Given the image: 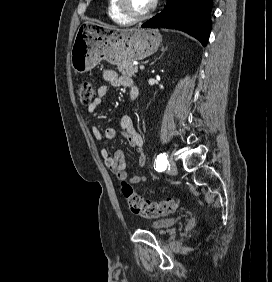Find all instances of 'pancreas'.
I'll use <instances>...</instances> for the list:
<instances>
[{"instance_id": "obj_1", "label": "pancreas", "mask_w": 272, "mask_h": 282, "mask_svg": "<svg viewBox=\"0 0 272 282\" xmlns=\"http://www.w3.org/2000/svg\"><path fill=\"white\" fill-rule=\"evenodd\" d=\"M117 69L122 75L129 77H134L138 72V67L132 63L120 64Z\"/></svg>"}]
</instances>
